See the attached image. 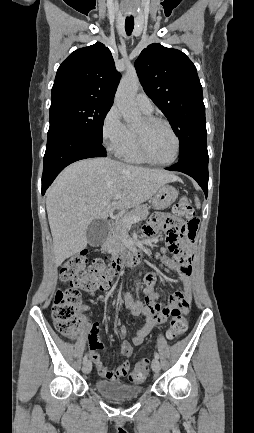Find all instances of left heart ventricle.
<instances>
[{"label": "left heart ventricle", "mask_w": 254, "mask_h": 433, "mask_svg": "<svg viewBox=\"0 0 254 433\" xmlns=\"http://www.w3.org/2000/svg\"><path fill=\"white\" fill-rule=\"evenodd\" d=\"M146 142L150 155L157 161L166 162L173 158L176 148L175 140L163 125L149 127L145 120L136 128Z\"/></svg>", "instance_id": "obj_1"}]
</instances>
